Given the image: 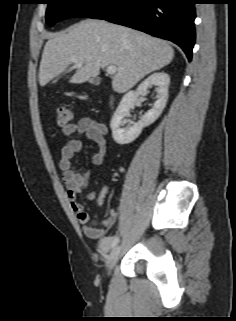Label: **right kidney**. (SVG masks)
I'll use <instances>...</instances> for the list:
<instances>
[{
  "label": "right kidney",
  "mask_w": 236,
  "mask_h": 321,
  "mask_svg": "<svg viewBox=\"0 0 236 321\" xmlns=\"http://www.w3.org/2000/svg\"><path fill=\"white\" fill-rule=\"evenodd\" d=\"M169 84L170 77L167 73L156 72L147 77L135 91H130L124 95L110 123L112 136L116 143L129 144L133 142L140 135L143 128L158 119L167 103ZM152 85L157 86V100L154 102L152 109L147 111L138 123H134L128 128H122L124 118L129 114V110L134 106L137 98L146 95Z\"/></svg>",
  "instance_id": "obj_1"
}]
</instances>
